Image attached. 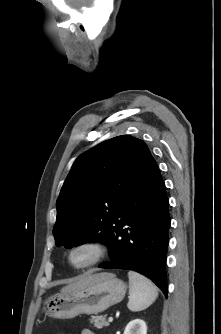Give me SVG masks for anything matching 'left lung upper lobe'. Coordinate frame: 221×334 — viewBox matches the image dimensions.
Wrapping results in <instances>:
<instances>
[{"label": "left lung upper lobe", "instance_id": "1", "mask_svg": "<svg viewBox=\"0 0 221 334\" xmlns=\"http://www.w3.org/2000/svg\"><path fill=\"white\" fill-rule=\"evenodd\" d=\"M152 162L145 142L129 135L81 154L57 199L55 244L71 248L98 240L108 245L123 201Z\"/></svg>", "mask_w": 221, "mask_h": 334}]
</instances>
